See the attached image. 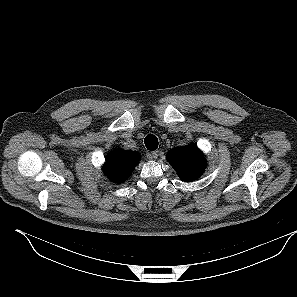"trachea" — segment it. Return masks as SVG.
Returning <instances> with one entry per match:
<instances>
[{
    "instance_id": "obj_1",
    "label": "trachea",
    "mask_w": 297,
    "mask_h": 297,
    "mask_svg": "<svg viewBox=\"0 0 297 297\" xmlns=\"http://www.w3.org/2000/svg\"><path fill=\"white\" fill-rule=\"evenodd\" d=\"M144 143L146 148L150 151H154L158 148V139L152 134H149L145 137Z\"/></svg>"
}]
</instances>
